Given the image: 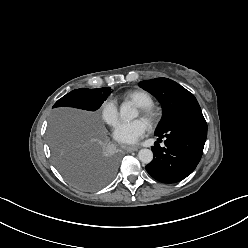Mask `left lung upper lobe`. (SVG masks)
Instances as JSON below:
<instances>
[{"instance_id":"left-lung-upper-lobe-1","label":"left lung upper lobe","mask_w":248,"mask_h":248,"mask_svg":"<svg viewBox=\"0 0 248 248\" xmlns=\"http://www.w3.org/2000/svg\"><path fill=\"white\" fill-rule=\"evenodd\" d=\"M140 87L153 94L162 104L163 114L155 133L163 132L185 111L199 106L192 93L168 78L145 80Z\"/></svg>"}]
</instances>
